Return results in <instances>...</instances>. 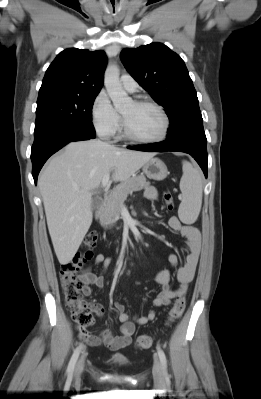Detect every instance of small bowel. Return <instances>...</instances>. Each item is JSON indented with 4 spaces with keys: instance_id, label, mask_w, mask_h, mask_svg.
I'll list each match as a JSON object with an SVG mask.
<instances>
[{
    "instance_id": "small-bowel-1",
    "label": "small bowel",
    "mask_w": 261,
    "mask_h": 399,
    "mask_svg": "<svg viewBox=\"0 0 261 399\" xmlns=\"http://www.w3.org/2000/svg\"><path fill=\"white\" fill-rule=\"evenodd\" d=\"M144 197L147 200H155L157 198L156 189L152 186L146 187L144 189ZM168 224L172 230L179 232L186 239L188 253L184 264L179 266L176 271V277L180 284L177 290H173L169 285L171 274L168 270H161L157 273L155 280L161 285L162 290L153 301L154 307L167 306L173 297L186 292L188 285L194 278L201 252V235L195 226L183 224L177 216L170 217ZM168 261L173 267H176L179 263V258L176 254H171ZM111 262V257L103 253H98L95 256L94 263L96 265H102L103 271L101 273H95L90 268H86L80 273L79 280L82 284V293L85 296L91 295L93 287L100 288L103 286V274L108 269ZM91 307L99 316L104 314V309L100 305L91 304ZM114 309L121 323L120 334L115 335L109 330H103L98 335H93L89 331H86L85 334L80 333V336L85 339L89 345H104L113 351L123 349L131 342L132 335L135 331V323L142 325L153 321L155 318V312L153 310L149 311L144 316L131 317L126 313L125 306L119 301L114 303Z\"/></svg>"
}]
</instances>
